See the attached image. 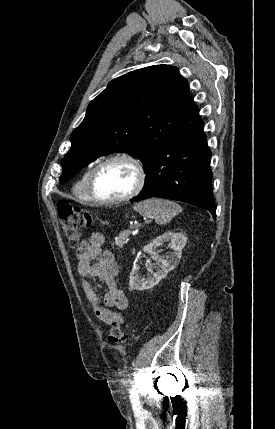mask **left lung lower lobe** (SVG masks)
Returning <instances> with one entry per match:
<instances>
[{
	"instance_id": "0a47b994",
	"label": "left lung lower lobe",
	"mask_w": 275,
	"mask_h": 429,
	"mask_svg": "<svg viewBox=\"0 0 275 429\" xmlns=\"http://www.w3.org/2000/svg\"><path fill=\"white\" fill-rule=\"evenodd\" d=\"M204 123L192 101L186 114L157 151L148 168L142 191L131 201L151 197L173 199L206 208L216 218Z\"/></svg>"
}]
</instances>
